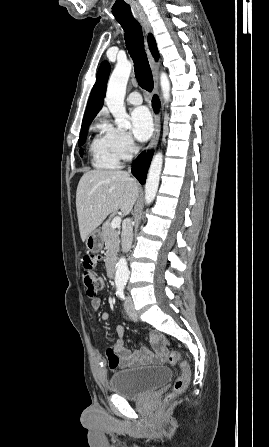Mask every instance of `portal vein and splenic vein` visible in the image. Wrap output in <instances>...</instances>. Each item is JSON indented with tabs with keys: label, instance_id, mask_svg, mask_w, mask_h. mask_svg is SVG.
Returning a JSON list of instances; mask_svg holds the SVG:
<instances>
[{
	"label": "portal vein and splenic vein",
	"instance_id": "18ae733b",
	"mask_svg": "<svg viewBox=\"0 0 269 447\" xmlns=\"http://www.w3.org/2000/svg\"><path fill=\"white\" fill-rule=\"evenodd\" d=\"M120 224H121V218H119V216H116V218H113L111 222V227L115 229V227H119Z\"/></svg>",
	"mask_w": 269,
	"mask_h": 447
}]
</instances>
